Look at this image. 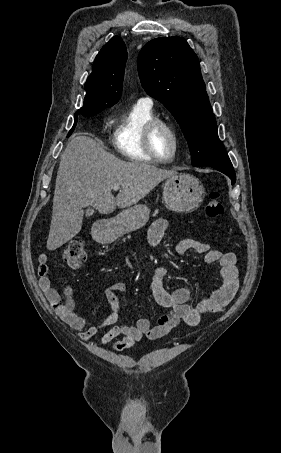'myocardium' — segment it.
I'll use <instances>...</instances> for the list:
<instances>
[{
    "label": "myocardium",
    "instance_id": "1",
    "mask_svg": "<svg viewBox=\"0 0 281 453\" xmlns=\"http://www.w3.org/2000/svg\"><path fill=\"white\" fill-rule=\"evenodd\" d=\"M161 130L166 131L172 138V154L171 157L168 159L161 158L155 147L156 137ZM180 137L176 130V128L168 121L162 119H155L151 121L145 130L144 135V143L147 153L151 158L155 161L162 163V164H169L172 163L178 154Z\"/></svg>",
    "mask_w": 281,
    "mask_h": 453
}]
</instances>
